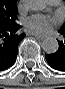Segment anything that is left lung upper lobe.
Instances as JSON below:
<instances>
[{
    "instance_id": "obj_1",
    "label": "left lung upper lobe",
    "mask_w": 65,
    "mask_h": 89,
    "mask_svg": "<svg viewBox=\"0 0 65 89\" xmlns=\"http://www.w3.org/2000/svg\"><path fill=\"white\" fill-rule=\"evenodd\" d=\"M60 30L65 31V23H64V25L61 27V29H60Z\"/></svg>"
}]
</instances>
